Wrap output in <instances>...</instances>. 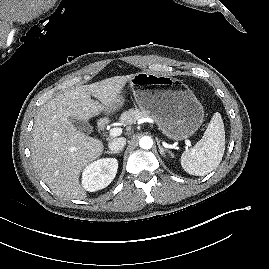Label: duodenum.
<instances>
[{"mask_svg": "<svg viewBox=\"0 0 269 269\" xmlns=\"http://www.w3.org/2000/svg\"><path fill=\"white\" fill-rule=\"evenodd\" d=\"M98 128H99L100 131H102L104 129V123L100 122L99 125H98Z\"/></svg>", "mask_w": 269, "mask_h": 269, "instance_id": "1", "label": "duodenum"}]
</instances>
